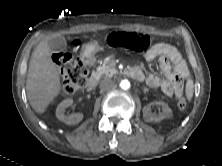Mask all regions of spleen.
Returning <instances> with one entry per match:
<instances>
[{
    "instance_id": "3e777b00",
    "label": "spleen",
    "mask_w": 222,
    "mask_h": 166,
    "mask_svg": "<svg viewBox=\"0 0 222 166\" xmlns=\"http://www.w3.org/2000/svg\"><path fill=\"white\" fill-rule=\"evenodd\" d=\"M194 93V82L189 78L186 82L185 94L188 101H191Z\"/></svg>"
}]
</instances>
